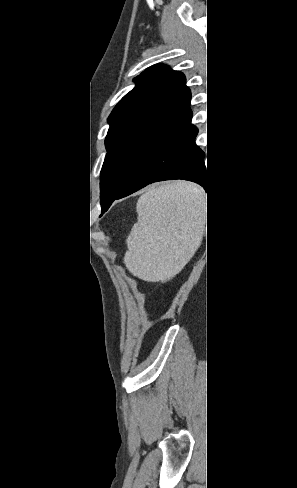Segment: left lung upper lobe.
I'll return each instance as SVG.
<instances>
[{
  "label": "left lung upper lobe",
  "mask_w": 297,
  "mask_h": 488,
  "mask_svg": "<svg viewBox=\"0 0 297 488\" xmlns=\"http://www.w3.org/2000/svg\"><path fill=\"white\" fill-rule=\"evenodd\" d=\"M134 82L135 88L108 118L100 182L102 210L152 155L191 123V93L184 74L157 64Z\"/></svg>",
  "instance_id": "5c2ea615"
}]
</instances>
